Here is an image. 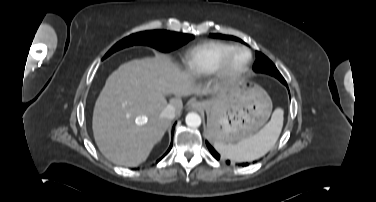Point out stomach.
Here are the masks:
<instances>
[{
	"instance_id": "1",
	"label": "stomach",
	"mask_w": 376,
	"mask_h": 202,
	"mask_svg": "<svg viewBox=\"0 0 376 202\" xmlns=\"http://www.w3.org/2000/svg\"><path fill=\"white\" fill-rule=\"evenodd\" d=\"M207 111L208 136L213 142L238 143L255 133L268 120L272 103L258 86L233 83L218 97L201 101Z\"/></svg>"
}]
</instances>
